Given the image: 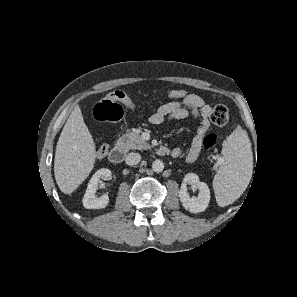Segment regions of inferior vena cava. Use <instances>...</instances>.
<instances>
[{
	"instance_id": "obj_1",
	"label": "inferior vena cava",
	"mask_w": 297,
	"mask_h": 297,
	"mask_svg": "<svg viewBox=\"0 0 297 297\" xmlns=\"http://www.w3.org/2000/svg\"><path fill=\"white\" fill-rule=\"evenodd\" d=\"M140 160H141V155L139 153H135V152L127 154V156L125 158V162L129 166L138 164L140 162Z\"/></svg>"
}]
</instances>
